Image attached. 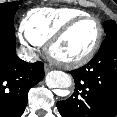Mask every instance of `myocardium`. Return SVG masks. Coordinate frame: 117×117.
<instances>
[{"label":"myocardium","instance_id":"1","mask_svg":"<svg viewBox=\"0 0 117 117\" xmlns=\"http://www.w3.org/2000/svg\"><path fill=\"white\" fill-rule=\"evenodd\" d=\"M89 19L94 20L98 26L97 37L90 51L86 53L84 56L76 59H64L57 56L54 53V48L56 47V45L60 41H62L75 26H77L82 21ZM103 33H104L103 25L97 17L92 15L78 16L65 23L57 32H55L47 41L45 49L49 59L54 64L64 68H78L87 64L95 57L102 44Z\"/></svg>","mask_w":117,"mask_h":117}]
</instances>
